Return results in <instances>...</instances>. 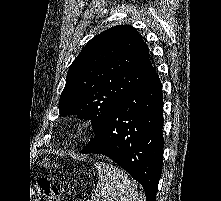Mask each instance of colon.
<instances>
[{
    "label": "colon",
    "mask_w": 221,
    "mask_h": 201,
    "mask_svg": "<svg viewBox=\"0 0 221 201\" xmlns=\"http://www.w3.org/2000/svg\"><path fill=\"white\" fill-rule=\"evenodd\" d=\"M29 201H60L59 189L49 179L40 178L30 190Z\"/></svg>",
    "instance_id": "1"
}]
</instances>
